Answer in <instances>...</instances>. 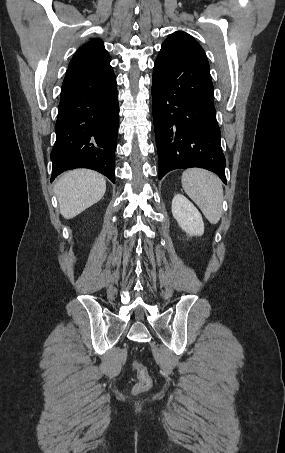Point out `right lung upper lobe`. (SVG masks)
Segmentation results:
<instances>
[{"label": "right lung upper lobe", "instance_id": "obj_1", "mask_svg": "<svg viewBox=\"0 0 285 453\" xmlns=\"http://www.w3.org/2000/svg\"><path fill=\"white\" fill-rule=\"evenodd\" d=\"M110 56L101 39H91L80 47L69 63V67L104 68L109 65Z\"/></svg>", "mask_w": 285, "mask_h": 453}]
</instances>
